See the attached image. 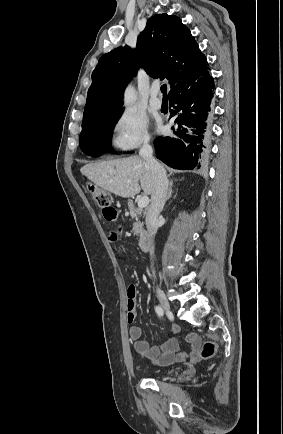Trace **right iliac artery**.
<instances>
[{
    "instance_id": "1",
    "label": "right iliac artery",
    "mask_w": 283,
    "mask_h": 434,
    "mask_svg": "<svg viewBox=\"0 0 283 434\" xmlns=\"http://www.w3.org/2000/svg\"><path fill=\"white\" fill-rule=\"evenodd\" d=\"M155 312L157 313L158 316H163L164 311L160 306H155Z\"/></svg>"
}]
</instances>
